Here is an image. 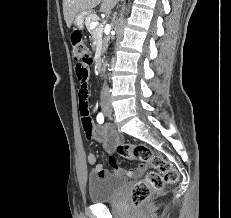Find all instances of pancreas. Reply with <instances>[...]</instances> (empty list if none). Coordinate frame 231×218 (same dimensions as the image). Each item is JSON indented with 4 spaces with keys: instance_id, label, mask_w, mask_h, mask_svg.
<instances>
[{
    "instance_id": "pancreas-1",
    "label": "pancreas",
    "mask_w": 231,
    "mask_h": 218,
    "mask_svg": "<svg viewBox=\"0 0 231 218\" xmlns=\"http://www.w3.org/2000/svg\"><path fill=\"white\" fill-rule=\"evenodd\" d=\"M98 16L96 14L89 13L85 18V25L87 30L95 37L96 41L99 43L102 40L103 29L101 25H98L95 29L91 28L90 25L92 22H97ZM98 49V45L96 46Z\"/></svg>"
}]
</instances>
